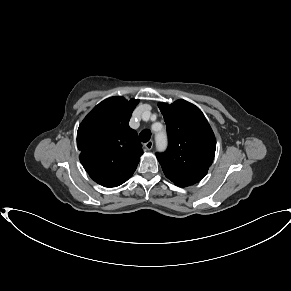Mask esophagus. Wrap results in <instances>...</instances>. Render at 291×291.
<instances>
[{"label":"esophagus","instance_id":"obj_1","mask_svg":"<svg viewBox=\"0 0 291 291\" xmlns=\"http://www.w3.org/2000/svg\"><path fill=\"white\" fill-rule=\"evenodd\" d=\"M144 147L147 149V150H151L152 147H153V141H148L144 144Z\"/></svg>","mask_w":291,"mask_h":291}]
</instances>
